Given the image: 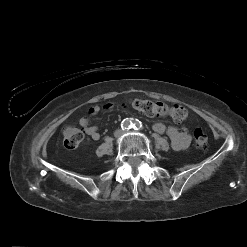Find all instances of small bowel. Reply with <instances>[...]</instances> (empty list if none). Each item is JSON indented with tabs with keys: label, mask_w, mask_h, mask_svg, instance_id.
<instances>
[{
	"label": "small bowel",
	"mask_w": 247,
	"mask_h": 247,
	"mask_svg": "<svg viewBox=\"0 0 247 247\" xmlns=\"http://www.w3.org/2000/svg\"><path fill=\"white\" fill-rule=\"evenodd\" d=\"M110 107L111 105L106 106V108ZM100 110L101 108L99 106H92L89 109V115H96L100 112ZM79 124L84 128L86 134L93 140H98L100 138L98 127L91 123L89 117H82L79 120ZM153 130L159 134H167L171 140V145L174 150H184L190 145L191 136L184 127L166 126L163 123H155L153 125Z\"/></svg>",
	"instance_id": "obj_1"
}]
</instances>
